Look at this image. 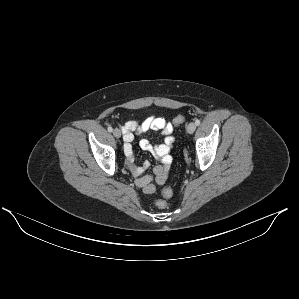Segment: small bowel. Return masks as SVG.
Listing matches in <instances>:
<instances>
[{
  "label": "small bowel",
  "mask_w": 299,
  "mask_h": 299,
  "mask_svg": "<svg viewBox=\"0 0 299 299\" xmlns=\"http://www.w3.org/2000/svg\"><path fill=\"white\" fill-rule=\"evenodd\" d=\"M150 130L160 132L163 142L159 145H153L147 139H142L139 142L142 150L151 153L159 161V165L154 167L152 175H143L150 164L148 161H145L141 166L135 165L132 142L136 135L144 134ZM173 132V125L164 118L157 116H150L143 121L131 120L123 128L124 153L127 158V166L134 176L136 185L142 188L145 194L154 193L156 186L163 185L169 176L173 161L171 155L174 145Z\"/></svg>",
  "instance_id": "small-bowel-1"
}]
</instances>
